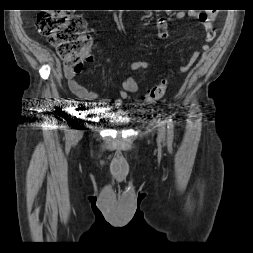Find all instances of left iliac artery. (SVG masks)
<instances>
[{"instance_id": "1", "label": "left iliac artery", "mask_w": 253, "mask_h": 253, "mask_svg": "<svg viewBox=\"0 0 253 253\" xmlns=\"http://www.w3.org/2000/svg\"><path fill=\"white\" fill-rule=\"evenodd\" d=\"M168 139L173 140L174 124L171 118L167 119Z\"/></svg>"}]
</instances>
